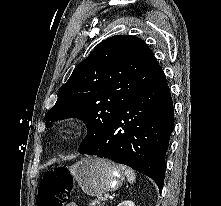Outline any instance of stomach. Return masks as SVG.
Listing matches in <instances>:
<instances>
[{"label":"stomach","mask_w":221,"mask_h":206,"mask_svg":"<svg viewBox=\"0 0 221 206\" xmlns=\"http://www.w3.org/2000/svg\"><path fill=\"white\" fill-rule=\"evenodd\" d=\"M74 180L90 195L118 189L124 180V172L113 162L97 157H87L69 168Z\"/></svg>","instance_id":"1"}]
</instances>
